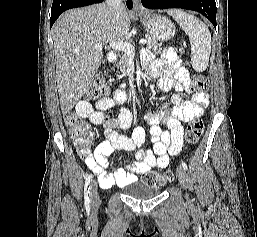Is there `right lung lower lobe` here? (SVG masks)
Listing matches in <instances>:
<instances>
[{"mask_svg": "<svg viewBox=\"0 0 257 237\" xmlns=\"http://www.w3.org/2000/svg\"><path fill=\"white\" fill-rule=\"evenodd\" d=\"M102 1L103 0H53L51 8L50 26L52 27L56 19L65 10L76 7H82L94 3H101ZM126 4L129 9L132 8V0H127Z\"/></svg>", "mask_w": 257, "mask_h": 237, "instance_id": "right-lung-lower-lobe-1", "label": "right lung lower lobe"}]
</instances>
